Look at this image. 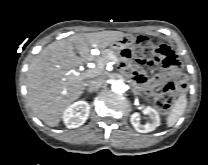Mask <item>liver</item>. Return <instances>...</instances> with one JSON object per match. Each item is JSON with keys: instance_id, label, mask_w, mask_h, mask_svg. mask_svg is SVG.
<instances>
[{"instance_id": "1", "label": "liver", "mask_w": 208, "mask_h": 165, "mask_svg": "<svg viewBox=\"0 0 208 165\" xmlns=\"http://www.w3.org/2000/svg\"><path fill=\"white\" fill-rule=\"evenodd\" d=\"M124 36L119 31L76 34L42 49L27 72V98L35 115L48 126H57L64 110L81 96L91 81L70 71L97 58L91 48L102 51Z\"/></svg>"}]
</instances>
